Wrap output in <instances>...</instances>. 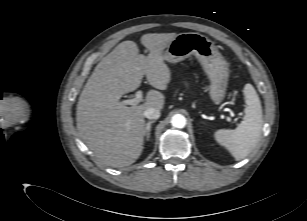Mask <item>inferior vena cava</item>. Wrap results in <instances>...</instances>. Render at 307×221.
Returning <instances> with one entry per match:
<instances>
[{
  "instance_id": "inferior-vena-cava-1",
  "label": "inferior vena cava",
  "mask_w": 307,
  "mask_h": 221,
  "mask_svg": "<svg viewBox=\"0 0 307 221\" xmlns=\"http://www.w3.org/2000/svg\"><path fill=\"white\" fill-rule=\"evenodd\" d=\"M160 110L157 108H147L144 111V117H146L147 119H158L160 117Z\"/></svg>"
}]
</instances>
